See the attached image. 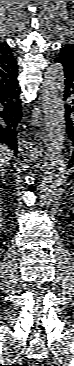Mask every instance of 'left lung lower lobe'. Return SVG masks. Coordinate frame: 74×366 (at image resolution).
Instances as JSON below:
<instances>
[{"mask_svg": "<svg viewBox=\"0 0 74 366\" xmlns=\"http://www.w3.org/2000/svg\"><path fill=\"white\" fill-rule=\"evenodd\" d=\"M55 62H58L62 64L64 69V99L68 100V104L65 105L66 108V128L69 139L72 140L73 146H74V69L69 68L68 66H65L62 61L55 60ZM71 162H74V152L72 155Z\"/></svg>", "mask_w": 74, "mask_h": 366, "instance_id": "obj_1", "label": "left lung lower lobe"}]
</instances>
